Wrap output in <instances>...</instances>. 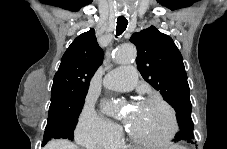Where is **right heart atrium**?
Listing matches in <instances>:
<instances>
[{
    "mask_svg": "<svg viewBox=\"0 0 227 149\" xmlns=\"http://www.w3.org/2000/svg\"><path fill=\"white\" fill-rule=\"evenodd\" d=\"M121 136L119 126L98 115L90 105H85L77 124L76 138L87 147L108 148L117 143Z\"/></svg>",
    "mask_w": 227,
    "mask_h": 149,
    "instance_id": "d8ad5b80",
    "label": "right heart atrium"
}]
</instances>
